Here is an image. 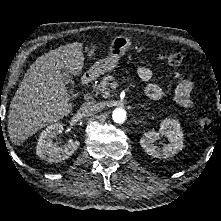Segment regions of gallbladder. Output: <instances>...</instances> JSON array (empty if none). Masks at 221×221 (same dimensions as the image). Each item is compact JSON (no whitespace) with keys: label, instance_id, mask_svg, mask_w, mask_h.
<instances>
[{"label":"gallbladder","instance_id":"1","mask_svg":"<svg viewBox=\"0 0 221 221\" xmlns=\"http://www.w3.org/2000/svg\"><path fill=\"white\" fill-rule=\"evenodd\" d=\"M62 74V79L65 82V84L71 86L72 85V78L70 76V74L67 71H63L61 72Z\"/></svg>","mask_w":221,"mask_h":221}]
</instances>
